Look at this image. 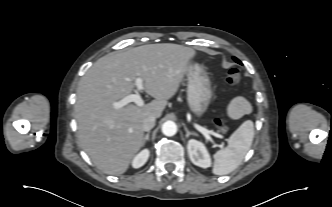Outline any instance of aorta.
I'll list each match as a JSON object with an SVG mask.
<instances>
[{
    "instance_id": "obj_1",
    "label": "aorta",
    "mask_w": 332,
    "mask_h": 207,
    "mask_svg": "<svg viewBox=\"0 0 332 207\" xmlns=\"http://www.w3.org/2000/svg\"><path fill=\"white\" fill-rule=\"evenodd\" d=\"M177 132V125L173 121H166L162 125V133L166 136H173Z\"/></svg>"
}]
</instances>
